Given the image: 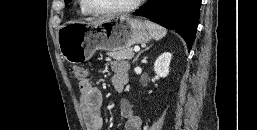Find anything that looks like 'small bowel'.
<instances>
[{
    "label": "small bowel",
    "instance_id": "small-bowel-1",
    "mask_svg": "<svg viewBox=\"0 0 257 130\" xmlns=\"http://www.w3.org/2000/svg\"><path fill=\"white\" fill-rule=\"evenodd\" d=\"M112 83L117 92H122L127 80L129 65L125 61H115L112 64ZM80 106L88 130H102L103 117L101 107L103 97L100 90L87 78L79 81ZM120 112L125 120L124 130H141L142 121L137 116L127 100L120 101Z\"/></svg>",
    "mask_w": 257,
    "mask_h": 130
}]
</instances>
